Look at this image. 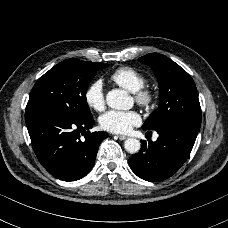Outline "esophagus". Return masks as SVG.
I'll list each match as a JSON object with an SVG mask.
<instances>
[{"mask_svg": "<svg viewBox=\"0 0 228 228\" xmlns=\"http://www.w3.org/2000/svg\"><path fill=\"white\" fill-rule=\"evenodd\" d=\"M120 140H125L127 139V136L126 135H118L117 136Z\"/></svg>", "mask_w": 228, "mask_h": 228, "instance_id": "obj_1", "label": "esophagus"}]
</instances>
